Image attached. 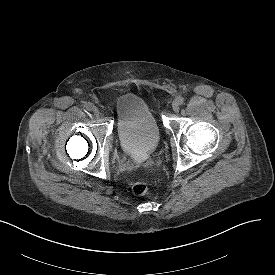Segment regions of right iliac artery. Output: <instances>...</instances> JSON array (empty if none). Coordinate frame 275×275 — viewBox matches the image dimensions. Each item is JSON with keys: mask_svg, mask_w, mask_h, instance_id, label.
<instances>
[{"mask_svg": "<svg viewBox=\"0 0 275 275\" xmlns=\"http://www.w3.org/2000/svg\"><path fill=\"white\" fill-rule=\"evenodd\" d=\"M85 108H86V110H88V111H92V108H93V105H92V103H87L86 105H85Z\"/></svg>", "mask_w": 275, "mask_h": 275, "instance_id": "right-iliac-artery-1", "label": "right iliac artery"}]
</instances>
